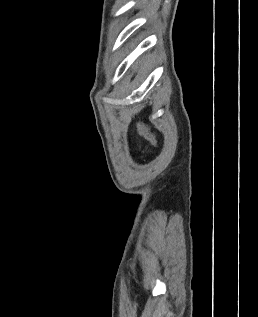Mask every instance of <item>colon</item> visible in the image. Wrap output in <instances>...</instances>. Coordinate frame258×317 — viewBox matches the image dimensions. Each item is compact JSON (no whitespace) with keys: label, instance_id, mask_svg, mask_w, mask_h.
Returning <instances> with one entry per match:
<instances>
[{"label":"colon","instance_id":"colon-1","mask_svg":"<svg viewBox=\"0 0 258 317\" xmlns=\"http://www.w3.org/2000/svg\"><path fill=\"white\" fill-rule=\"evenodd\" d=\"M137 128L142 136L149 140L153 145H158V138L151 128L143 121L137 123Z\"/></svg>","mask_w":258,"mask_h":317}]
</instances>
